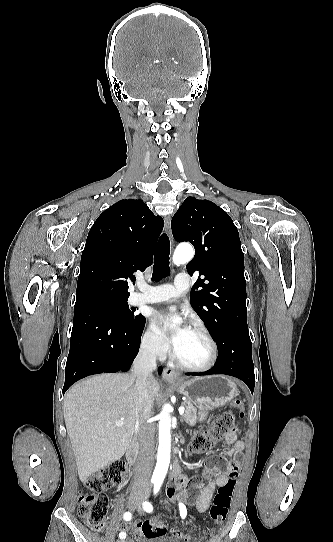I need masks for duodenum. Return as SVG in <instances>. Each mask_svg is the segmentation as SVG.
Returning a JSON list of instances; mask_svg holds the SVG:
<instances>
[{
    "label": "duodenum",
    "instance_id": "duodenum-1",
    "mask_svg": "<svg viewBox=\"0 0 333 542\" xmlns=\"http://www.w3.org/2000/svg\"><path fill=\"white\" fill-rule=\"evenodd\" d=\"M139 453V444L137 441H133L126 450V459L131 464L134 465L137 461ZM181 473V466L177 459L174 460L171 468L172 476H178Z\"/></svg>",
    "mask_w": 333,
    "mask_h": 542
}]
</instances>
